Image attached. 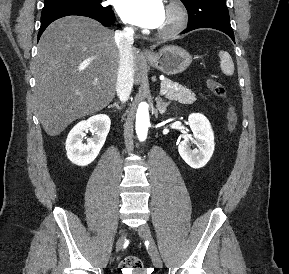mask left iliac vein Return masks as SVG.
<instances>
[{
	"label": "left iliac vein",
	"instance_id": "1",
	"mask_svg": "<svg viewBox=\"0 0 289 274\" xmlns=\"http://www.w3.org/2000/svg\"><path fill=\"white\" fill-rule=\"evenodd\" d=\"M138 234L141 238H143L149 242L150 256H151L153 264L156 267H162V265H163L162 259L160 257L156 243L152 237L151 230H150V227L148 226V224H143V225L139 226Z\"/></svg>",
	"mask_w": 289,
	"mask_h": 274
}]
</instances>
